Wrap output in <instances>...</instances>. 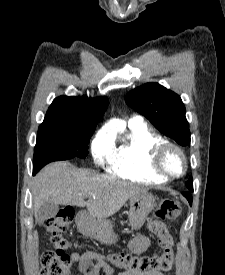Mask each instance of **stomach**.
Here are the masks:
<instances>
[{
	"label": "stomach",
	"mask_w": 225,
	"mask_h": 275,
	"mask_svg": "<svg viewBox=\"0 0 225 275\" xmlns=\"http://www.w3.org/2000/svg\"><path fill=\"white\" fill-rule=\"evenodd\" d=\"M156 198L149 193H143L130 198L129 226L132 230L140 229L147 216L156 208ZM86 234L104 244H114L118 236L114 233L109 222H99L88 217L86 225L82 227Z\"/></svg>",
	"instance_id": "stomach-1"
}]
</instances>
